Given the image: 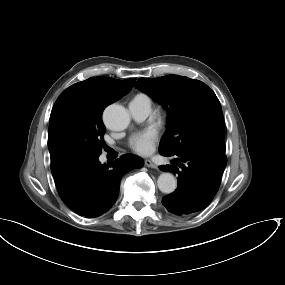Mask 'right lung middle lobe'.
<instances>
[{
  "label": "right lung middle lobe",
  "instance_id": "right-lung-middle-lobe-1",
  "mask_svg": "<svg viewBox=\"0 0 285 285\" xmlns=\"http://www.w3.org/2000/svg\"><path fill=\"white\" fill-rule=\"evenodd\" d=\"M106 106L79 94L63 92L58 97L50 115L48 133L52 174L99 157L105 146L102 112Z\"/></svg>",
  "mask_w": 285,
  "mask_h": 285
}]
</instances>
